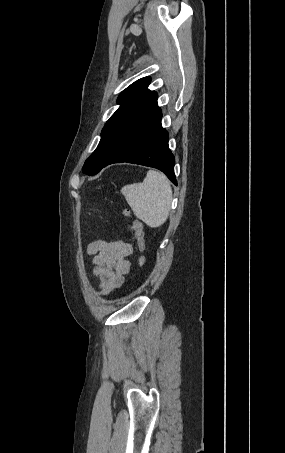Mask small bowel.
<instances>
[{
	"mask_svg": "<svg viewBox=\"0 0 285 453\" xmlns=\"http://www.w3.org/2000/svg\"><path fill=\"white\" fill-rule=\"evenodd\" d=\"M88 254L101 294H110L123 284L130 269L128 257L133 254L130 243L96 240L89 244Z\"/></svg>",
	"mask_w": 285,
	"mask_h": 453,
	"instance_id": "obj_1",
	"label": "small bowel"
}]
</instances>
